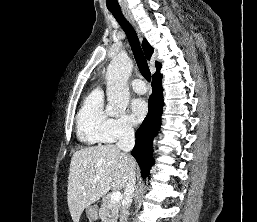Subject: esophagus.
<instances>
[{"label":"esophagus","mask_w":257,"mask_h":222,"mask_svg":"<svg viewBox=\"0 0 257 222\" xmlns=\"http://www.w3.org/2000/svg\"><path fill=\"white\" fill-rule=\"evenodd\" d=\"M123 14H124L125 17L130 21V23H131L135 28H137V27H136V23H135L134 19L132 18V16H131L128 12H126V11H124Z\"/></svg>","instance_id":"esophagus-1"}]
</instances>
